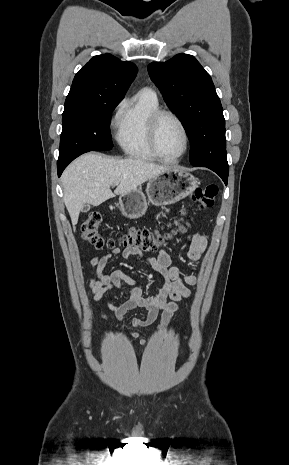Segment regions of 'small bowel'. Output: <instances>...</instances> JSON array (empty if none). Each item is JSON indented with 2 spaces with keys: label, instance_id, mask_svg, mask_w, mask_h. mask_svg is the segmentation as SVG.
Here are the masks:
<instances>
[{
  "label": "small bowel",
  "instance_id": "1",
  "mask_svg": "<svg viewBox=\"0 0 289 465\" xmlns=\"http://www.w3.org/2000/svg\"><path fill=\"white\" fill-rule=\"evenodd\" d=\"M173 238L174 236L170 237V239ZM186 242L189 245V259L198 262L206 252V238L200 232L195 231L187 235ZM119 254L125 259L143 257L142 252L135 248H125L123 251L114 248L103 256L93 258L91 265L94 277L90 280L89 288L94 301H100L104 294L114 289H120L126 283L130 286L128 298L120 304L108 303L109 308L114 311L116 319L122 321L128 311L144 308L147 310L146 317L134 318L132 321L134 327L142 328L151 325L157 319L159 311H162L159 326H167L178 310L177 303L190 296V287L196 284L197 277L186 272L183 268L172 266L171 258L166 251V244H164L157 256L145 258L146 263L163 278V284L159 290L146 296L142 285L122 270L113 269L109 273L104 272L105 267ZM168 298L171 299L170 302H168ZM100 314L105 320L109 319L104 312H100ZM131 335L140 338L141 343L145 344V340L140 337L139 333L132 332Z\"/></svg>",
  "mask_w": 289,
  "mask_h": 465
}]
</instances>
